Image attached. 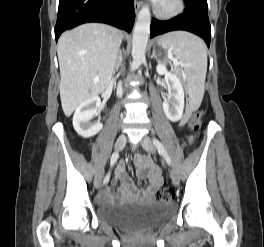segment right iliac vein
<instances>
[{
  "label": "right iliac vein",
  "mask_w": 264,
  "mask_h": 247,
  "mask_svg": "<svg viewBox=\"0 0 264 247\" xmlns=\"http://www.w3.org/2000/svg\"><path fill=\"white\" fill-rule=\"evenodd\" d=\"M125 144H126V136L124 134H121L117 138L114 148L116 151H120L124 148ZM102 178H103V170L99 171L95 176L94 185L96 188H99L101 186Z\"/></svg>",
  "instance_id": "right-iliac-vein-1"
}]
</instances>
